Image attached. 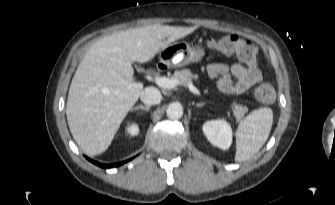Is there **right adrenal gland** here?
<instances>
[{"label": "right adrenal gland", "mask_w": 335, "mask_h": 205, "mask_svg": "<svg viewBox=\"0 0 335 205\" xmlns=\"http://www.w3.org/2000/svg\"><path fill=\"white\" fill-rule=\"evenodd\" d=\"M139 109L144 110L145 112H147L150 109V106L138 105V106L134 107L132 110L134 111V110H139Z\"/></svg>", "instance_id": "obj_1"}]
</instances>
